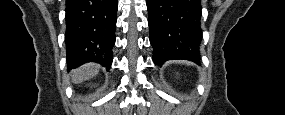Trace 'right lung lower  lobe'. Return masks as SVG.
<instances>
[{
	"mask_svg": "<svg viewBox=\"0 0 285 115\" xmlns=\"http://www.w3.org/2000/svg\"><path fill=\"white\" fill-rule=\"evenodd\" d=\"M118 0H66L68 69L97 62L110 69Z\"/></svg>",
	"mask_w": 285,
	"mask_h": 115,
	"instance_id": "right-lung-lower-lobe-1",
	"label": "right lung lower lobe"
}]
</instances>
